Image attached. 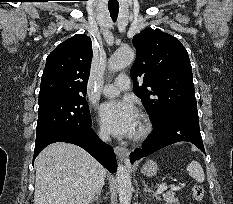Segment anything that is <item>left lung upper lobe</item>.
I'll list each match as a JSON object with an SVG mask.
<instances>
[{"label": "left lung upper lobe", "mask_w": 233, "mask_h": 204, "mask_svg": "<svg viewBox=\"0 0 233 204\" xmlns=\"http://www.w3.org/2000/svg\"><path fill=\"white\" fill-rule=\"evenodd\" d=\"M133 45V89L151 119L169 114L198 116L192 67L181 42L159 29L147 28L133 37ZM137 77L144 80L141 87Z\"/></svg>", "instance_id": "1"}]
</instances>
